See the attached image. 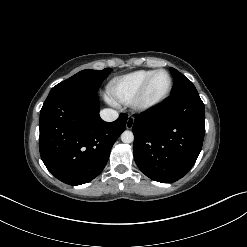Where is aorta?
Instances as JSON below:
<instances>
[{"label": "aorta", "instance_id": "1", "mask_svg": "<svg viewBox=\"0 0 247 247\" xmlns=\"http://www.w3.org/2000/svg\"><path fill=\"white\" fill-rule=\"evenodd\" d=\"M121 140L123 143H132L134 135L131 131L126 130L121 134Z\"/></svg>", "mask_w": 247, "mask_h": 247}]
</instances>
